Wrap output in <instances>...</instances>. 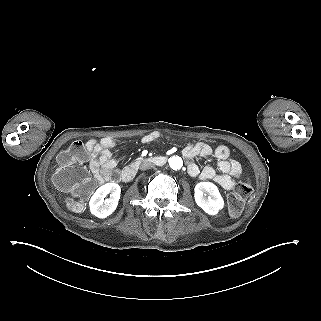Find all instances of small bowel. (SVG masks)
I'll return each mask as SVG.
<instances>
[{
	"label": "small bowel",
	"mask_w": 321,
	"mask_h": 321,
	"mask_svg": "<svg viewBox=\"0 0 321 321\" xmlns=\"http://www.w3.org/2000/svg\"><path fill=\"white\" fill-rule=\"evenodd\" d=\"M159 133L153 132L145 135L142 142L152 143L159 138ZM89 168L99 184L116 177L115 168L117 159L113 157L112 150L116 147V141L111 137L102 138L100 141L91 139L86 143ZM183 154L188 162V173L192 177L202 180H213L226 190H231L236 185L235 178L241 173L240 163L230 158L229 149L225 145H219L215 149L205 142H198L185 147ZM214 155L218 160L216 168L207 166L200 169L192 159L194 157H207Z\"/></svg>",
	"instance_id": "obj_1"
}]
</instances>
